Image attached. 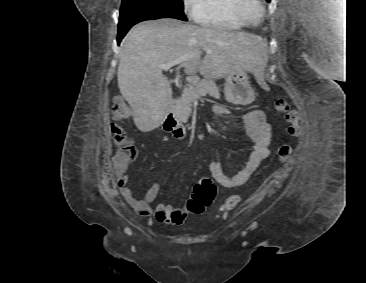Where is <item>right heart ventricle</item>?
I'll return each instance as SVG.
<instances>
[{
    "mask_svg": "<svg viewBox=\"0 0 366 283\" xmlns=\"http://www.w3.org/2000/svg\"><path fill=\"white\" fill-rule=\"evenodd\" d=\"M233 0H206L198 22L221 30H239L244 27L233 12Z\"/></svg>",
    "mask_w": 366,
    "mask_h": 283,
    "instance_id": "e07e8e85",
    "label": "right heart ventricle"
}]
</instances>
